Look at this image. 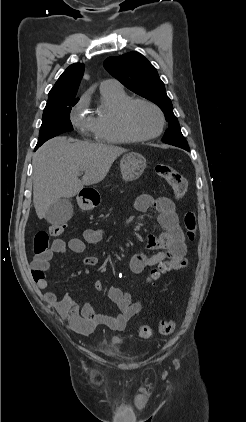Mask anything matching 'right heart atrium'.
<instances>
[{
	"label": "right heart atrium",
	"mask_w": 246,
	"mask_h": 422,
	"mask_svg": "<svg viewBox=\"0 0 246 422\" xmlns=\"http://www.w3.org/2000/svg\"><path fill=\"white\" fill-rule=\"evenodd\" d=\"M70 120L74 128L81 134L89 135L93 133V117L87 114L86 103L80 99L72 108Z\"/></svg>",
	"instance_id": "1"
}]
</instances>
